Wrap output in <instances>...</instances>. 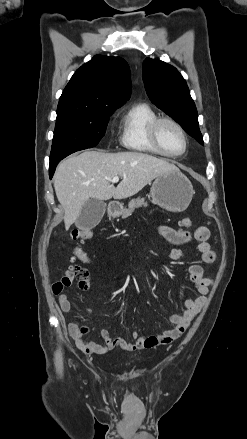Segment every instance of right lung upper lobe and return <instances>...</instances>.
Returning a JSON list of instances; mask_svg holds the SVG:
<instances>
[{
    "instance_id": "obj_1",
    "label": "right lung upper lobe",
    "mask_w": 247,
    "mask_h": 439,
    "mask_svg": "<svg viewBox=\"0 0 247 439\" xmlns=\"http://www.w3.org/2000/svg\"><path fill=\"white\" fill-rule=\"evenodd\" d=\"M131 94L130 69L120 57L96 55L71 77L58 109L113 110Z\"/></svg>"
}]
</instances>
